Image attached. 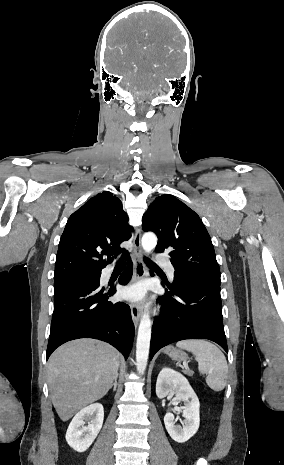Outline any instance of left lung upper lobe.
Here are the masks:
<instances>
[{
    "instance_id": "left-lung-upper-lobe-1",
    "label": "left lung upper lobe",
    "mask_w": 284,
    "mask_h": 465,
    "mask_svg": "<svg viewBox=\"0 0 284 465\" xmlns=\"http://www.w3.org/2000/svg\"><path fill=\"white\" fill-rule=\"evenodd\" d=\"M142 229L157 234V253L170 251L174 275L220 285V270L208 231L183 202L172 195L157 197L143 215Z\"/></svg>"
}]
</instances>
